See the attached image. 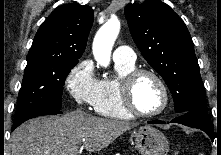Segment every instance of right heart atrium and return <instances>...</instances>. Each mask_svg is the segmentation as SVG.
Masks as SVG:
<instances>
[{"label": "right heart atrium", "mask_w": 221, "mask_h": 155, "mask_svg": "<svg viewBox=\"0 0 221 155\" xmlns=\"http://www.w3.org/2000/svg\"><path fill=\"white\" fill-rule=\"evenodd\" d=\"M98 79L91 60L77 63L65 78V88L80 106L93 107L97 95Z\"/></svg>", "instance_id": "obj_1"}]
</instances>
